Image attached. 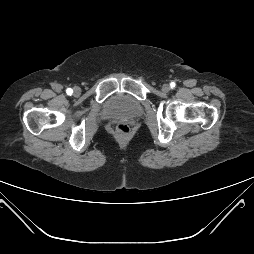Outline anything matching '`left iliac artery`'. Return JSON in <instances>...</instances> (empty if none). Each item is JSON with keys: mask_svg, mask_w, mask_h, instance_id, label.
Returning <instances> with one entry per match:
<instances>
[{"mask_svg": "<svg viewBox=\"0 0 254 254\" xmlns=\"http://www.w3.org/2000/svg\"><path fill=\"white\" fill-rule=\"evenodd\" d=\"M170 86H171V88H174V87H175V83L172 82V83L170 84Z\"/></svg>", "mask_w": 254, "mask_h": 254, "instance_id": "1", "label": "left iliac artery"}]
</instances>
